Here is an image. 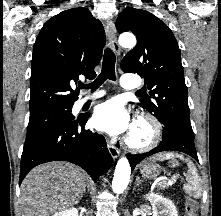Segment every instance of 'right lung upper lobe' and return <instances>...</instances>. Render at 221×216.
Segmentation results:
<instances>
[{"label":"right lung upper lobe","mask_w":221,"mask_h":216,"mask_svg":"<svg viewBox=\"0 0 221 216\" xmlns=\"http://www.w3.org/2000/svg\"><path fill=\"white\" fill-rule=\"evenodd\" d=\"M105 32L87 8L65 10L49 19L33 49L30 79V115L73 105L79 76L93 79L101 60Z\"/></svg>","instance_id":"cb5924a9"}]
</instances>
